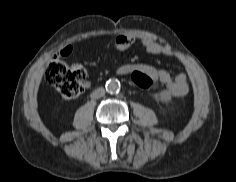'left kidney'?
Instances as JSON below:
<instances>
[{
	"mask_svg": "<svg viewBox=\"0 0 236 182\" xmlns=\"http://www.w3.org/2000/svg\"><path fill=\"white\" fill-rule=\"evenodd\" d=\"M159 96H160V100L166 104H168L172 99L171 95L166 90L161 91Z\"/></svg>",
	"mask_w": 236,
	"mask_h": 182,
	"instance_id": "1",
	"label": "left kidney"
}]
</instances>
